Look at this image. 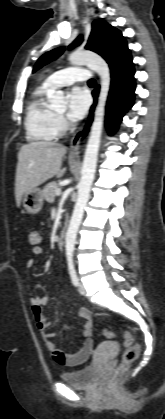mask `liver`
Returning a JSON list of instances; mask_svg holds the SVG:
<instances>
[{"mask_svg": "<svg viewBox=\"0 0 165 419\" xmlns=\"http://www.w3.org/2000/svg\"><path fill=\"white\" fill-rule=\"evenodd\" d=\"M66 147L55 142H30L21 147L15 179V198L19 207L22 196L56 176L64 175L61 169Z\"/></svg>", "mask_w": 165, "mask_h": 419, "instance_id": "liver-1", "label": "liver"}]
</instances>
